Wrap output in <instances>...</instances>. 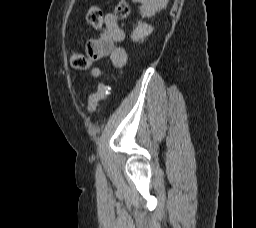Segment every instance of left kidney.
I'll list each match as a JSON object with an SVG mask.
<instances>
[{
	"instance_id": "1",
	"label": "left kidney",
	"mask_w": 256,
	"mask_h": 228,
	"mask_svg": "<svg viewBox=\"0 0 256 228\" xmlns=\"http://www.w3.org/2000/svg\"><path fill=\"white\" fill-rule=\"evenodd\" d=\"M153 31V27L146 23L138 22V26L133 30L131 38L133 41L143 40L145 37L150 35Z\"/></svg>"
}]
</instances>
